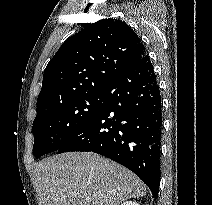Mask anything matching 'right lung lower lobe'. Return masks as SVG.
I'll list each match as a JSON object with an SVG mask.
<instances>
[{
	"instance_id": "obj_1",
	"label": "right lung lower lobe",
	"mask_w": 212,
	"mask_h": 205,
	"mask_svg": "<svg viewBox=\"0 0 212 205\" xmlns=\"http://www.w3.org/2000/svg\"><path fill=\"white\" fill-rule=\"evenodd\" d=\"M94 115L57 153L91 151L133 171L157 198L162 133L161 96L146 54L116 75L101 91Z\"/></svg>"
}]
</instances>
